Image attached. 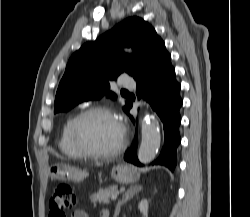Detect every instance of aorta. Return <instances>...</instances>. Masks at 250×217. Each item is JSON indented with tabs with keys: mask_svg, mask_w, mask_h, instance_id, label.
Listing matches in <instances>:
<instances>
[{
	"mask_svg": "<svg viewBox=\"0 0 250 217\" xmlns=\"http://www.w3.org/2000/svg\"><path fill=\"white\" fill-rule=\"evenodd\" d=\"M160 142L159 123L150 116H146L142 122V141L138 150L139 161L143 164L150 163L157 155Z\"/></svg>",
	"mask_w": 250,
	"mask_h": 217,
	"instance_id": "obj_1",
	"label": "aorta"
}]
</instances>
